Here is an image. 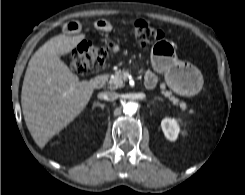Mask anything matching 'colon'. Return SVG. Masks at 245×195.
Segmentation results:
<instances>
[{
    "label": "colon",
    "mask_w": 245,
    "mask_h": 195,
    "mask_svg": "<svg viewBox=\"0 0 245 195\" xmlns=\"http://www.w3.org/2000/svg\"><path fill=\"white\" fill-rule=\"evenodd\" d=\"M133 34L141 46H146L161 39V31L153 28L149 23L138 20L134 24ZM114 47L110 42L106 45H99L94 42H83L69 56L70 67L77 74H84L94 66H101L105 63Z\"/></svg>",
    "instance_id": "5ec220e1"
}]
</instances>
